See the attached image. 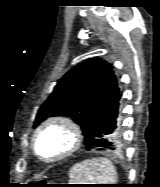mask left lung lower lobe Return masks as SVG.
Listing matches in <instances>:
<instances>
[{"instance_id": "0a47b994", "label": "left lung lower lobe", "mask_w": 160, "mask_h": 187, "mask_svg": "<svg viewBox=\"0 0 160 187\" xmlns=\"http://www.w3.org/2000/svg\"><path fill=\"white\" fill-rule=\"evenodd\" d=\"M121 94H117L101 111L94 127L85 135V145L88 150L115 152L122 144L119 139L111 138L118 129V108Z\"/></svg>"}]
</instances>
